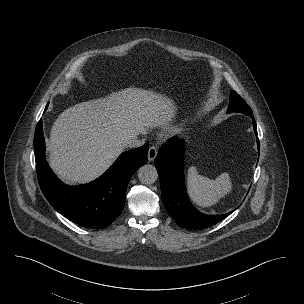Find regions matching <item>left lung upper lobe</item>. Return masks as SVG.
Segmentation results:
<instances>
[{"mask_svg":"<svg viewBox=\"0 0 304 304\" xmlns=\"http://www.w3.org/2000/svg\"><path fill=\"white\" fill-rule=\"evenodd\" d=\"M232 112H240L253 117V112L249 105L235 91H231L230 104L227 113Z\"/></svg>","mask_w":304,"mask_h":304,"instance_id":"5c2ea615","label":"left lung upper lobe"}]
</instances>
